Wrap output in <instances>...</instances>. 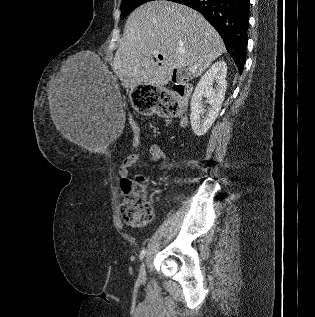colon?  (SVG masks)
<instances>
[{"instance_id":"5ec220e1","label":"colon","mask_w":315,"mask_h":317,"mask_svg":"<svg viewBox=\"0 0 315 317\" xmlns=\"http://www.w3.org/2000/svg\"><path fill=\"white\" fill-rule=\"evenodd\" d=\"M183 91L161 90L155 95L159 113L164 116H176L182 111ZM134 140H141V129L136 121L131 122ZM121 217L127 224L142 227L149 224L154 216L153 207L146 197L143 177L128 178L121 181Z\"/></svg>"}]
</instances>
